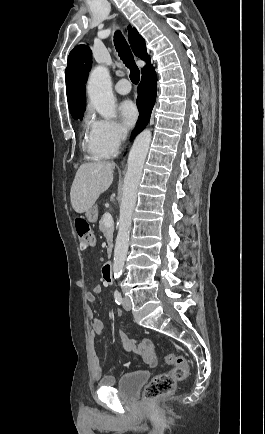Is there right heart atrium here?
<instances>
[{"instance_id": "obj_1", "label": "right heart atrium", "mask_w": 265, "mask_h": 434, "mask_svg": "<svg viewBox=\"0 0 265 434\" xmlns=\"http://www.w3.org/2000/svg\"><path fill=\"white\" fill-rule=\"evenodd\" d=\"M91 123L93 144L89 148L91 154H105L108 159H113L115 154H124L129 133L125 132L122 122L114 118L93 117Z\"/></svg>"}]
</instances>
